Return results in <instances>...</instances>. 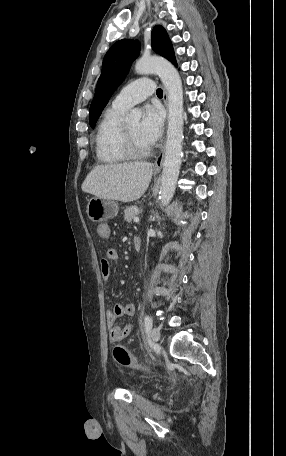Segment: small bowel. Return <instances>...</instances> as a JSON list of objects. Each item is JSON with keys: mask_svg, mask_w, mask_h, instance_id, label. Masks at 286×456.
Listing matches in <instances>:
<instances>
[{"mask_svg": "<svg viewBox=\"0 0 286 456\" xmlns=\"http://www.w3.org/2000/svg\"><path fill=\"white\" fill-rule=\"evenodd\" d=\"M97 233L101 238H108L111 235V229L108 224H100L97 227ZM118 259V252L110 248L105 252L104 257L100 260V272L107 283L111 275V263ZM135 314V305L133 303H116L111 306L106 313V323L108 326L109 339L111 342H119L131 332L129 324L118 326L116 320L122 316H133Z\"/></svg>", "mask_w": 286, "mask_h": 456, "instance_id": "small-bowel-1", "label": "small bowel"}]
</instances>
